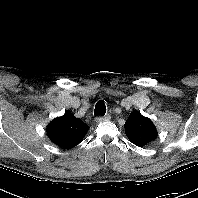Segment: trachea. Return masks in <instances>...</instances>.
<instances>
[{
	"label": "trachea",
	"instance_id": "trachea-1",
	"mask_svg": "<svg viewBox=\"0 0 198 198\" xmlns=\"http://www.w3.org/2000/svg\"><path fill=\"white\" fill-rule=\"evenodd\" d=\"M106 113V105L104 101L100 100L95 105L94 115L95 116H104Z\"/></svg>",
	"mask_w": 198,
	"mask_h": 198
}]
</instances>
